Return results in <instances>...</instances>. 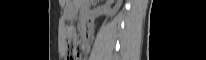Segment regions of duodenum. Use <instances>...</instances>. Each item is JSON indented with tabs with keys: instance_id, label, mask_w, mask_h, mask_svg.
Wrapping results in <instances>:
<instances>
[{
	"instance_id": "1",
	"label": "duodenum",
	"mask_w": 206,
	"mask_h": 60,
	"mask_svg": "<svg viewBox=\"0 0 206 60\" xmlns=\"http://www.w3.org/2000/svg\"><path fill=\"white\" fill-rule=\"evenodd\" d=\"M83 34L86 33V30H89V25H82Z\"/></svg>"
}]
</instances>
